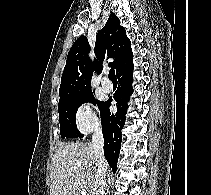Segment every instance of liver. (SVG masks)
<instances>
[{
    "label": "liver",
    "mask_w": 211,
    "mask_h": 195,
    "mask_svg": "<svg viewBox=\"0 0 211 195\" xmlns=\"http://www.w3.org/2000/svg\"><path fill=\"white\" fill-rule=\"evenodd\" d=\"M96 162L92 144H61L56 150L50 174V195H93Z\"/></svg>",
    "instance_id": "obj_1"
}]
</instances>
